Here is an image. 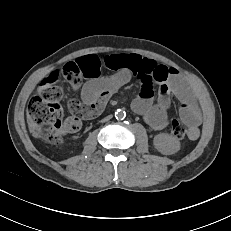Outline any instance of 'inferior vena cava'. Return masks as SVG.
Returning a JSON list of instances; mask_svg holds the SVG:
<instances>
[{
  "label": "inferior vena cava",
  "instance_id": "602c4592",
  "mask_svg": "<svg viewBox=\"0 0 231 231\" xmlns=\"http://www.w3.org/2000/svg\"><path fill=\"white\" fill-rule=\"evenodd\" d=\"M111 118H112V116L109 115V116H107L105 119H103V121H107V120H109V119H111Z\"/></svg>",
  "mask_w": 231,
  "mask_h": 231
}]
</instances>
